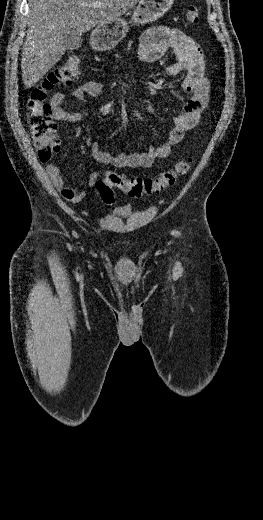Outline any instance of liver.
I'll return each instance as SVG.
<instances>
[{
	"instance_id": "obj_1",
	"label": "liver",
	"mask_w": 263,
	"mask_h": 520,
	"mask_svg": "<svg viewBox=\"0 0 263 520\" xmlns=\"http://www.w3.org/2000/svg\"><path fill=\"white\" fill-rule=\"evenodd\" d=\"M140 0H30L29 29L22 48V80L34 86L61 59L66 36L119 19ZM100 2L99 7L88 4Z\"/></svg>"
}]
</instances>
